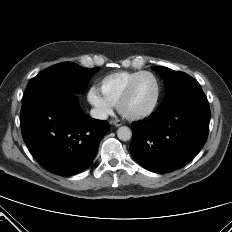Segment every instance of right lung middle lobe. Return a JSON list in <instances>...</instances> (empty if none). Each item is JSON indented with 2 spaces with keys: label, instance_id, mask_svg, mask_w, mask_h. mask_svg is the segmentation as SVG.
I'll use <instances>...</instances> for the list:
<instances>
[{
  "label": "right lung middle lobe",
  "instance_id": "1",
  "mask_svg": "<svg viewBox=\"0 0 232 232\" xmlns=\"http://www.w3.org/2000/svg\"><path fill=\"white\" fill-rule=\"evenodd\" d=\"M99 68H83L76 63L63 62L39 73L28 83L22 101L46 92L82 93Z\"/></svg>",
  "mask_w": 232,
  "mask_h": 232
}]
</instances>
